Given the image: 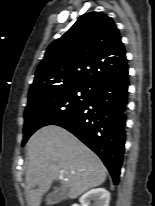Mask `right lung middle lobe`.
<instances>
[{"label":"right lung middle lobe","instance_id":"right-lung-middle-lobe-1","mask_svg":"<svg viewBox=\"0 0 155 206\" xmlns=\"http://www.w3.org/2000/svg\"><path fill=\"white\" fill-rule=\"evenodd\" d=\"M95 89L84 85L61 86L35 93L25 109L22 146L39 128L53 125L87 104Z\"/></svg>","mask_w":155,"mask_h":206}]
</instances>
